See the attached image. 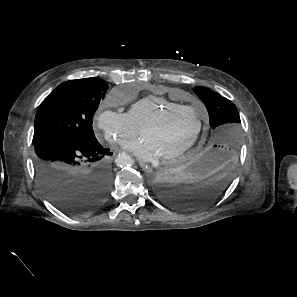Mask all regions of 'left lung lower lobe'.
Segmentation results:
<instances>
[{
	"instance_id": "obj_1",
	"label": "left lung lower lobe",
	"mask_w": 297,
	"mask_h": 297,
	"mask_svg": "<svg viewBox=\"0 0 297 297\" xmlns=\"http://www.w3.org/2000/svg\"><path fill=\"white\" fill-rule=\"evenodd\" d=\"M236 157L216 148L197 151L154 178L157 197L181 210H198L225 193L234 175Z\"/></svg>"
}]
</instances>
